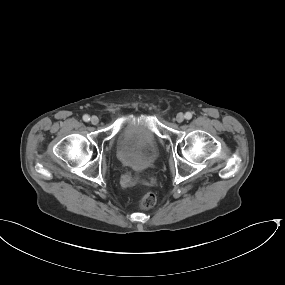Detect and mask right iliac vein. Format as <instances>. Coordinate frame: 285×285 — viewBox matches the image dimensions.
I'll use <instances>...</instances> for the list:
<instances>
[{
	"instance_id": "63e3f726",
	"label": "right iliac vein",
	"mask_w": 285,
	"mask_h": 285,
	"mask_svg": "<svg viewBox=\"0 0 285 285\" xmlns=\"http://www.w3.org/2000/svg\"><path fill=\"white\" fill-rule=\"evenodd\" d=\"M91 123L93 125H97L99 123V118L97 116H92L91 117Z\"/></svg>"
}]
</instances>
